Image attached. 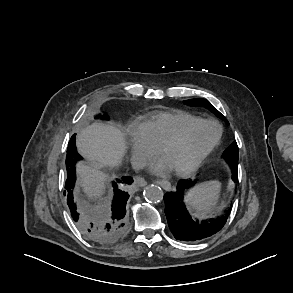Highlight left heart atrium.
<instances>
[{"instance_id": "obj_1", "label": "left heart atrium", "mask_w": 293, "mask_h": 293, "mask_svg": "<svg viewBox=\"0 0 293 293\" xmlns=\"http://www.w3.org/2000/svg\"><path fill=\"white\" fill-rule=\"evenodd\" d=\"M149 169L152 173L164 174L165 172L170 170L171 167L166 162V160L163 158V159L153 160L149 165Z\"/></svg>"}]
</instances>
